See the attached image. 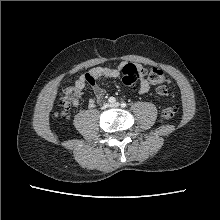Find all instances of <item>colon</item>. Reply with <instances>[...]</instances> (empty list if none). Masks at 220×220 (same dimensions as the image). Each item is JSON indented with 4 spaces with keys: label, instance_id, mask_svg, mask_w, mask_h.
Wrapping results in <instances>:
<instances>
[{
    "label": "colon",
    "instance_id": "obj_1",
    "mask_svg": "<svg viewBox=\"0 0 220 220\" xmlns=\"http://www.w3.org/2000/svg\"><path fill=\"white\" fill-rule=\"evenodd\" d=\"M145 78L148 82L156 85L160 96L169 94V79L165 74L155 67H137L134 64H126L122 68V81L127 86H133L139 78ZM81 95V89L77 86L65 88L59 96L61 115H66L70 108L77 102ZM176 114L175 107H166L161 112L162 121L171 120Z\"/></svg>",
    "mask_w": 220,
    "mask_h": 220
}]
</instances>
